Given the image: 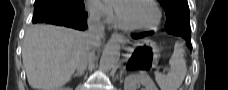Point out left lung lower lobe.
I'll use <instances>...</instances> for the list:
<instances>
[{
  "label": "left lung lower lobe",
  "instance_id": "0a47b994",
  "mask_svg": "<svg viewBox=\"0 0 228 90\" xmlns=\"http://www.w3.org/2000/svg\"><path fill=\"white\" fill-rule=\"evenodd\" d=\"M166 31L169 34L181 36L182 38H184L187 41L188 47L192 48V45H191V30L190 31H182V30H179V29H176V28H170V29H166ZM152 33L153 32L134 34L132 37L137 39V38H142V37L147 36L148 34H152Z\"/></svg>",
  "mask_w": 228,
  "mask_h": 90
}]
</instances>
